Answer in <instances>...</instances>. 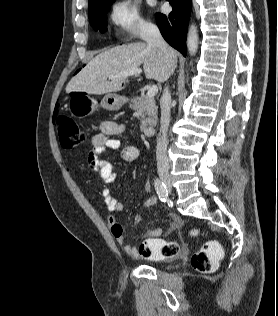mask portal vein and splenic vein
<instances>
[{
	"instance_id": "1",
	"label": "portal vein and splenic vein",
	"mask_w": 278,
	"mask_h": 316,
	"mask_svg": "<svg viewBox=\"0 0 278 316\" xmlns=\"http://www.w3.org/2000/svg\"><path fill=\"white\" fill-rule=\"evenodd\" d=\"M142 72V69L137 68V69H132V70H126L122 71L118 74L111 75L109 76V79H119V78H126L128 76H133V75H139ZM158 92V88L156 85H152L149 87L147 91V96L148 97H154Z\"/></svg>"
}]
</instances>
